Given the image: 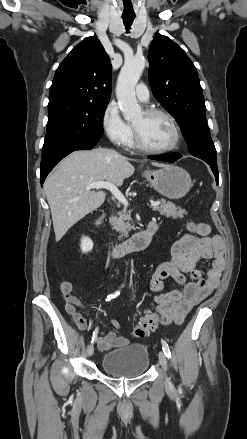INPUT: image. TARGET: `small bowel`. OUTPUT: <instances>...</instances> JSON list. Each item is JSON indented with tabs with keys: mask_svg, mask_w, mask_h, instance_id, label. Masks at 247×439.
Segmentation results:
<instances>
[{
	"mask_svg": "<svg viewBox=\"0 0 247 439\" xmlns=\"http://www.w3.org/2000/svg\"><path fill=\"white\" fill-rule=\"evenodd\" d=\"M199 225V231L195 232L197 235L184 234L173 244L171 259L159 264L150 279L149 286L155 293L154 301L157 304L155 309L160 313V323L163 325L183 323L192 308L209 296L219 284L225 267L224 242L221 237L211 234L207 224ZM206 260H212V265L204 278L199 266ZM167 278H172L183 289L162 293L164 280ZM73 287L72 281H63L60 284V294L72 323L79 330H85L87 322L78 309L86 312L90 310L72 294ZM111 322L116 329L121 328L117 320L113 319ZM127 344V337L119 336L113 331L101 332L97 338V346L102 351Z\"/></svg>",
	"mask_w": 247,
	"mask_h": 439,
	"instance_id": "small-bowel-1",
	"label": "small bowel"
}]
</instances>
